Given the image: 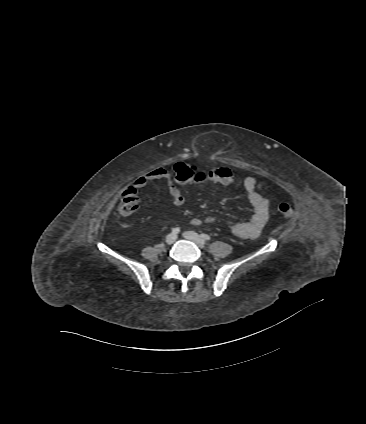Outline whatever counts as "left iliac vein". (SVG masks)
<instances>
[{
	"mask_svg": "<svg viewBox=\"0 0 366 424\" xmlns=\"http://www.w3.org/2000/svg\"><path fill=\"white\" fill-rule=\"evenodd\" d=\"M183 237L194 242L199 248L205 247V241L194 231H186L183 233Z\"/></svg>",
	"mask_w": 366,
	"mask_h": 424,
	"instance_id": "4c4485c4",
	"label": "left iliac vein"
}]
</instances>
